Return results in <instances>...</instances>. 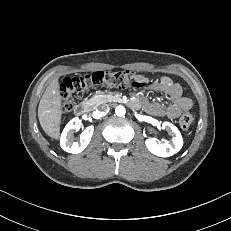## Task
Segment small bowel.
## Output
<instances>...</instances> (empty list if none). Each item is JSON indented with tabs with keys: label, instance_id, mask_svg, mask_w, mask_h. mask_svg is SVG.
Listing matches in <instances>:
<instances>
[{
	"label": "small bowel",
	"instance_id": "c3829d8e",
	"mask_svg": "<svg viewBox=\"0 0 231 231\" xmlns=\"http://www.w3.org/2000/svg\"><path fill=\"white\" fill-rule=\"evenodd\" d=\"M139 80L148 85L150 80L142 75ZM150 91H160L167 95L171 104L165 105L157 102H150L145 97H139L132 101L135 107H142L149 114L156 117L177 118L183 110L192 107V100L183 93L182 87L166 76L156 79L148 88Z\"/></svg>",
	"mask_w": 231,
	"mask_h": 231
}]
</instances>
